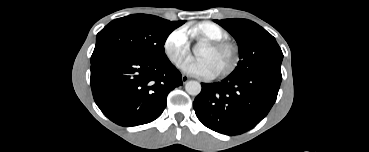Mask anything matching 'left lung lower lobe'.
Returning <instances> with one entry per match:
<instances>
[{
	"label": "left lung lower lobe",
	"mask_w": 369,
	"mask_h": 152,
	"mask_svg": "<svg viewBox=\"0 0 369 152\" xmlns=\"http://www.w3.org/2000/svg\"><path fill=\"white\" fill-rule=\"evenodd\" d=\"M282 76L262 73H231L218 83L204 84L193 107L198 119L208 128L238 135L255 127L275 103Z\"/></svg>",
	"instance_id": "obj_1"
}]
</instances>
